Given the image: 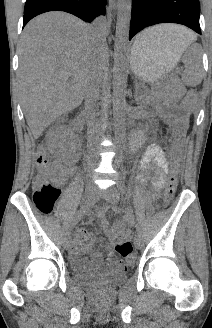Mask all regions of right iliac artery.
I'll return each instance as SVG.
<instances>
[{"instance_id": "obj_1", "label": "right iliac artery", "mask_w": 212, "mask_h": 328, "mask_svg": "<svg viewBox=\"0 0 212 328\" xmlns=\"http://www.w3.org/2000/svg\"><path fill=\"white\" fill-rule=\"evenodd\" d=\"M92 204L93 201L90 200L88 202H85V204L81 206V208L78 210V212L75 214V216L70 222L69 231H71L73 227L81 220L82 216L86 213L88 207L91 206Z\"/></svg>"}]
</instances>
